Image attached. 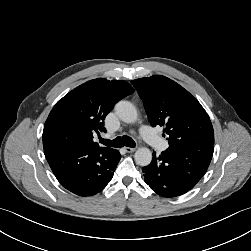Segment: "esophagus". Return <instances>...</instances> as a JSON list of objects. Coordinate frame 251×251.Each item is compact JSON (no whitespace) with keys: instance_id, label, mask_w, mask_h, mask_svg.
Segmentation results:
<instances>
[{"instance_id":"esophagus-1","label":"esophagus","mask_w":251,"mask_h":251,"mask_svg":"<svg viewBox=\"0 0 251 251\" xmlns=\"http://www.w3.org/2000/svg\"><path fill=\"white\" fill-rule=\"evenodd\" d=\"M136 150V148H131V147H125V151L128 153H132Z\"/></svg>"}]
</instances>
